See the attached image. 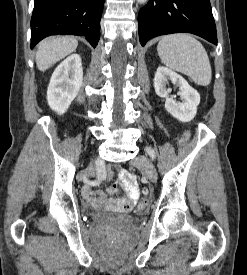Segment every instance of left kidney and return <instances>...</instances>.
Listing matches in <instances>:
<instances>
[{
    "instance_id": "1",
    "label": "left kidney",
    "mask_w": 247,
    "mask_h": 275,
    "mask_svg": "<svg viewBox=\"0 0 247 275\" xmlns=\"http://www.w3.org/2000/svg\"><path fill=\"white\" fill-rule=\"evenodd\" d=\"M169 80L179 86L180 91L178 94L181 96V102H177L169 97L171 90L166 88ZM154 88L159 97L166 99L165 109L173 117L181 122H189L195 117L197 106L200 103V95L181 75L160 66L154 77Z\"/></svg>"
}]
</instances>
